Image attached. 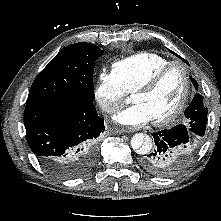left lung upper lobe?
<instances>
[{
	"mask_svg": "<svg viewBox=\"0 0 221 221\" xmlns=\"http://www.w3.org/2000/svg\"><path fill=\"white\" fill-rule=\"evenodd\" d=\"M191 81L195 89L198 90V84L194 79H192V77ZM207 114L208 110L203 103V96L196 93L192 102L185 110V116L188 119V122L186 123L187 128L199 140H201L205 133Z\"/></svg>",
	"mask_w": 221,
	"mask_h": 221,
	"instance_id": "obj_1",
	"label": "left lung upper lobe"
}]
</instances>
